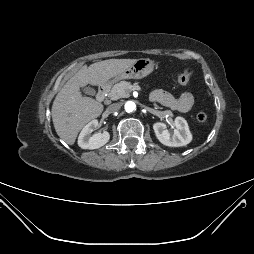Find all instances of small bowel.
<instances>
[{"label": "small bowel", "mask_w": 254, "mask_h": 254, "mask_svg": "<svg viewBox=\"0 0 254 254\" xmlns=\"http://www.w3.org/2000/svg\"><path fill=\"white\" fill-rule=\"evenodd\" d=\"M150 98L152 101L159 102L166 107L183 113L188 112L194 103L193 95L189 92L175 97L165 90L157 89L151 93Z\"/></svg>", "instance_id": "c3829d8e"}]
</instances>
